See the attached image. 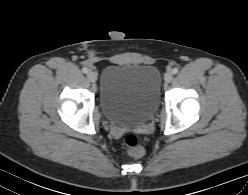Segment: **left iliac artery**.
Segmentation results:
<instances>
[{
  "mask_svg": "<svg viewBox=\"0 0 248 195\" xmlns=\"http://www.w3.org/2000/svg\"><path fill=\"white\" fill-rule=\"evenodd\" d=\"M178 71H179L178 68H174V69L172 70V73H173V74H177Z\"/></svg>",
  "mask_w": 248,
  "mask_h": 195,
  "instance_id": "1",
  "label": "left iliac artery"
}]
</instances>
